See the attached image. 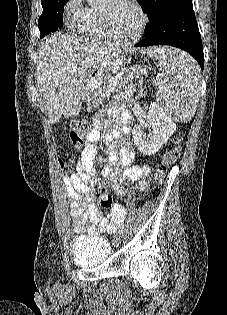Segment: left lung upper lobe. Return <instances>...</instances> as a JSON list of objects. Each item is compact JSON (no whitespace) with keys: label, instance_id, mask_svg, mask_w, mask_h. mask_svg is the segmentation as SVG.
<instances>
[{"label":"left lung upper lobe","instance_id":"5c2ea615","mask_svg":"<svg viewBox=\"0 0 227 315\" xmlns=\"http://www.w3.org/2000/svg\"><path fill=\"white\" fill-rule=\"evenodd\" d=\"M147 13L150 24L167 14L187 7H192V0H137Z\"/></svg>","mask_w":227,"mask_h":315}]
</instances>
